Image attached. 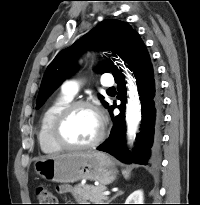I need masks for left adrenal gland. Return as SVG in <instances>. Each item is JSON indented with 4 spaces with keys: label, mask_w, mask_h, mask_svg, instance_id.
<instances>
[{
    "label": "left adrenal gland",
    "mask_w": 200,
    "mask_h": 205,
    "mask_svg": "<svg viewBox=\"0 0 200 205\" xmlns=\"http://www.w3.org/2000/svg\"><path fill=\"white\" fill-rule=\"evenodd\" d=\"M123 193H124V192H123L122 190H118V191L116 192V194L108 201V203L111 202L112 200H114L116 197L122 195Z\"/></svg>",
    "instance_id": "a2214340"
}]
</instances>
